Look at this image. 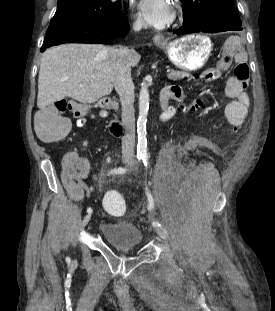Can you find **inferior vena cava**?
Returning <instances> with one entry per match:
<instances>
[{"label": "inferior vena cava", "instance_id": "1", "mask_svg": "<svg viewBox=\"0 0 275 311\" xmlns=\"http://www.w3.org/2000/svg\"><path fill=\"white\" fill-rule=\"evenodd\" d=\"M142 22L134 24V30L139 31ZM130 50L128 48H114L111 59L114 66V87L118 93L122 107V124L125 127V135L122 137V157L132 160L134 158L135 144V115H134V86L131 78V65L129 61Z\"/></svg>", "mask_w": 275, "mask_h": 311}]
</instances>
